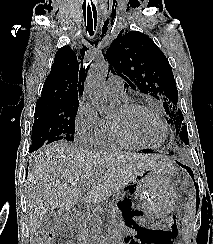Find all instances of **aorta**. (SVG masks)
I'll use <instances>...</instances> for the list:
<instances>
[{"instance_id":"aorta-1","label":"aorta","mask_w":213,"mask_h":244,"mask_svg":"<svg viewBox=\"0 0 213 244\" xmlns=\"http://www.w3.org/2000/svg\"><path fill=\"white\" fill-rule=\"evenodd\" d=\"M109 64L105 60L94 62L88 72L86 90L91 103L97 108L100 115L109 118L115 115L120 107L118 99L113 98L104 86L108 75ZM112 244H123V238L117 224V213L113 212Z\"/></svg>"}]
</instances>
